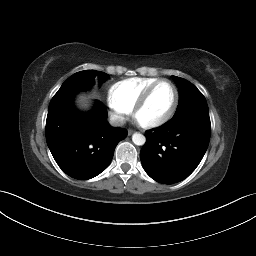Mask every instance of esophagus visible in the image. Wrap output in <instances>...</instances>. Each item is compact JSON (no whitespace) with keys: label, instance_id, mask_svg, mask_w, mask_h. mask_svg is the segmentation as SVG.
<instances>
[{"label":"esophagus","instance_id":"esophagus-1","mask_svg":"<svg viewBox=\"0 0 256 256\" xmlns=\"http://www.w3.org/2000/svg\"><path fill=\"white\" fill-rule=\"evenodd\" d=\"M134 133V130H132V129H128V135L130 136L131 134H133Z\"/></svg>","mask_w":256,"mask_h":256}]
</instances>
